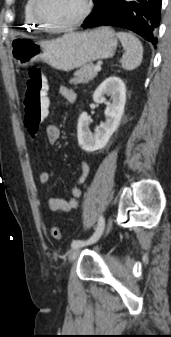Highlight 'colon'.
Segmentation results:
<instances>
[{"mask_svg":"<svg viewBox=\"0 0 171 337\" xmlns=\"http://www.w3.org/2000/svg\"><path fill=\"white\" fill-rule=\"evenodd\" d=\"M46 92V79L39 66H32L28 70L27 87L24 99V124L30 134H36L44 116H49L50 95ZM50 235L60 239L61 229L58 226L50 227Z\"/></svg>","mask_w":171,"mask_h":337,"instance_id":"5ec220e1","label":"colon"}]
</instances>
